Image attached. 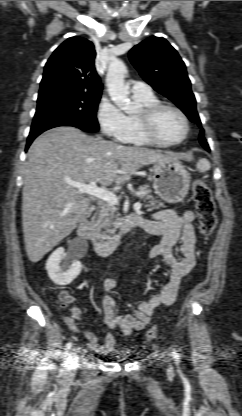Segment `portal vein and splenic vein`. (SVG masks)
<instances>
[{
    "label": "portal vein and splenic vein",
    "mask_w": 242,
    "mask_h": 416,
    "mask_svg": "<svg viewBox=\"0 0 242 416\" xmlns=\"http://www.w3.org/2000/svg\"><path fill=\"white\" fill-rule=\"evenodd\" d=\"M69 184L77 188L80 194L86 193L112 205H118L119 203V200L114 193L107 191L104 188L98 187L96 185V182L94 181L90 182L89 184H83L78 182H69ZM137 194L142 195L143 192H138ZM141 206L142 204L140 202H137L134 204V209L138 210L141 208Z\"/></svg>",
    "instance_id": "18ae733b"
}]
</instances>
